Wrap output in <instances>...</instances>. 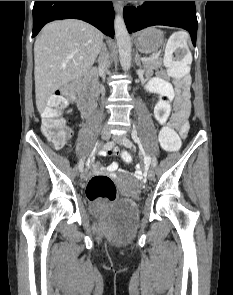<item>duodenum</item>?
<instances>
[{
    "label": "duodenum",
    "mask_w": 233,
    "mask_h": 295,
    "mask_svg": "<svg viewBox=\"0 0 233 295\" xmlns=\"http://www.w3.org/2000/svg\"><path fill=\"white\" fill-rule=\"evenodd\" d=\"M84 90L79 98L78 107L84 114H90L96 107L98 90L96 86L97 72L92 70L85 79Z\"/></svg>",
    "instance_id": "1"
}]
</instances>
